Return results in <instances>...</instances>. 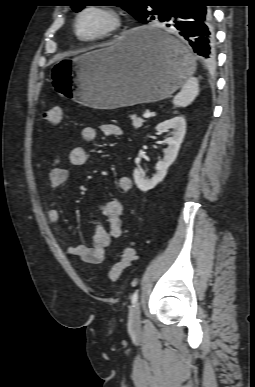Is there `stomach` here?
I'll return each instance as SVG.
<instances>
[{"label":"stomach","mask_w":255,"mask_h":387,"mask_svg":"<svg viewBox=\"0 0 255 387\" xmlns=\"http://www.w3.org/2000/svg\"><path fill=\"white\" fill-rule=\"evenodd\" d=\"M158 31L164 32L138 27L103 48L63 59L52 67L51 82L64 99L97 109L165 99L186 82L195 65L188 49L169 34L182 57L169 58L143 41L144 33Z\"/></svg>","instance_id":"stomach-1"}]
</instances>
